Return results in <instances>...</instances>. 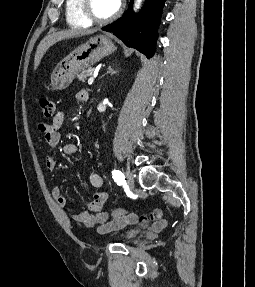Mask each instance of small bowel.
I'll return each mask as SVG.
<instances>
[{
  "label": "small bowel",
  "mask_w": 255,
  "mask_h": 287,
  "mask_svg": "<svg viewBox=\"0 0 255 287\" xmlns=\"http://www.w3.org/2000/svg\"><path fill=\"white\" fill-rule=\"evenodd\" d=\"M77 98L78 100H84L86 94L84 92H79ZM63 122L64 113L60 111L55 114L51 123H42L39 126L49 148L45 157V168L48 172H53L56 167L54 151L61 140L60 128ZM77 151L78 147L74 143H66L62 148V152L65 156H73ZM89 184L92 188L97 189V191L93 194L87 210L71 216H68L64 210L66 199L62 194L61 188L59 186H54L52 188L51 195L57 207L58 215L65 224L70 225L71 221H73L86 227H97L100 233L111 232L126 225L136 223L143 228L150 227L154 231L162 230L167 225V221L163 217V212L160 209H154L148 215L129 213L127 216L112 218L110 220V215L106 211H103V206L108 200V193L101 190L103 186L102 176L99 173L92 172L89 175Z\"/></svg>",
  "instance_id": "1"
}]
</instances>
